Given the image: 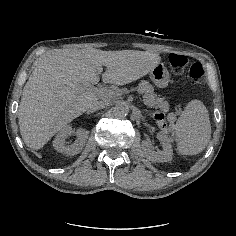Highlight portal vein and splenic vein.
Here are the masks:
<instances>
[{
    "label": "portal vein and splenic vein",
    "mask_w": 236,
    "mask_h": 236,
    "mask_svg": "<svg viewBox=\"0 0 236 236\" xmlns=\"http://www.w3.org/2000/svg\"><path fill=\"white\" fill-rule=\"evenodd\" d=\"M79 87L81 88V90H84V91L92 90L102 97H105L106 94L108 93V91H106L105 89H102L101 87H94L90 83H81L79 84Z\"/></svg>",
    "instance_id": "1"
}]
</instances>
